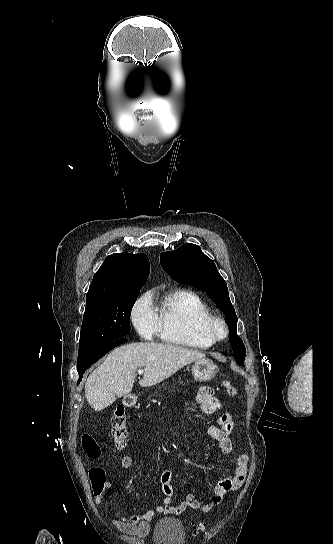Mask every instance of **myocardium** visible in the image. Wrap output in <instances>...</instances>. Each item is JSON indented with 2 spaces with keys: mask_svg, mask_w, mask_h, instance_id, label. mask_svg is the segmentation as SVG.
I'll return each mask as SVG.
<instances>
[{
  "mask_svg": "<svg viewBox=\"0 0 333 544\" xmlns=\"http://www.w3.org/2000/svg\"><path fill=\"white\" fill-rule=\"evenodd\" d=\"M202 331L203 335L213 344L224 341L229 335V329L225 320L214 314L205 319Z\"/></svg>",
  "mask_w": 333,
  "mask_h": 544,
  "instance_id": "obj_1",
  "label": "myocardium"
}]
</instances>
